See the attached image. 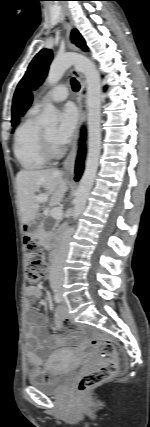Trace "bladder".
<instances>
[{
	"label": "bladder",
	"instance_id": "1",
	"mask_svg": "<svg viewBox=\"0 0 150 427\" xmlns=\"http://www.w3.org/2000/svg\"><path fill=\"white\" fill-rule=\"evenodd\" d=\"M74 369L51 370L46 379L30 378L29 383L46 394H58L67 385Z\"/></svg>",
	"mask_w": 150,
	"mask_h": 427
}]
</instances>
